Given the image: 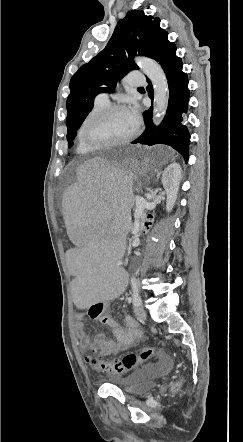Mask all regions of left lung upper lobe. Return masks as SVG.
I'll return each mask as SVG.
<instances>
[{
	"mask_svg": "<svg viewBox=\"0 0 243 442\" xmlns=\"http://www.w3.org/2000/svg\"><path fill=\"white\" fill-rule=\"evenodd\" d=\"M168 32L160 27L158 17L143 11H129L119 20L105 48L73 75L67 99V140L69 146L78 128L93 108L95 96L113 92L119 79L138 69L133 58L144 55L154 58Z\"/></svg>",
	"mask_w": 243,
	"mask_h": 442,
	"instance_id": "obj_1",
	"label": "left lung upper lobe"
}]
</instances>
